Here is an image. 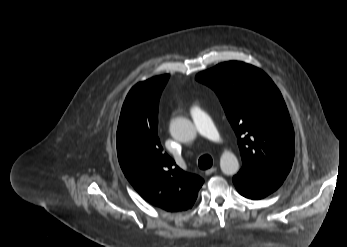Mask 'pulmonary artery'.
Instances as JSON below:
<instances>
[{
  "mask_svg": "<svg viewBox=\"0 0 347 247\" xmlns=\"http://www.w3.org/2000/svg\"><path fill=\"white\" fill-rule=\"evenodd\" d=\"M190 115L197 128L198 133L207 139L215 142L221 141L220 133L218 132L211 117L199 106H193L190 109Z\"/></svg>",
  "mask_w": 347,
  "mask_h": 247,
  "instance_id": "1",
  "label": "pulmonary artery"
}]
</instances>
